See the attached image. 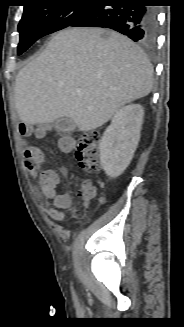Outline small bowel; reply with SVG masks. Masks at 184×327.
Segmentation results:
<instances>
[{
	"mask_svg": "<svg viewBox=\"0 0 184 327\" xmlns=\"http://www.w3.org/2000/svg\"><path fill=\"white\" fill-rule=\"evenodd\" d=\"M50 130L49 125H42L35 134L38 137H44ZM19 131L22 135L31 133L32 127L28 124H20ZM75 148V141L71 137H63L58 142V150L62 154L71 153ZM25 167L33 175L36 176L38 170L43 166L45 158L44 154L38 147L28 146L24 148ZM40 187L42 194L47 200V213L53 220L61 221L64 219L63 210L71 208V197L69 194H57V186L59 184V176L53 170H45L40 174ZM104 201V199H103ZM99 202V200H98ZM88 200L84 201V206H89Z\"/></svg>",
	"mask_w": 184,
	"mask_h": 327,
	"instance_id": "c3829d8e",
	"label": "small bowel"
}]
</instances>
